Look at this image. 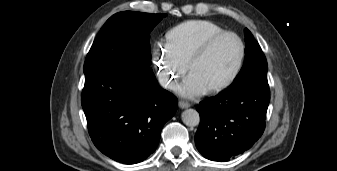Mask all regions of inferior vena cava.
I'll list each match as a JSON object with an SVG mask.
<instances>
[{
  "label": "inferior vena cava",
  "mask_w": 337,
  "mask_h": 171,
  "mask_svg": "<svg viewBox=\"0 0 337 171\" xmlns=\"http://www.w3.org/2000/svg\"><path fill=\"white\" fill-rule=\"evenodd\" d=\"M159 83L162 87L174 90L177 88V84L173 81H169V77L165 74L159 76Z\"/></svg>",
  "instance_id": "inferior-vena-cava-1"
}]
</instances>
